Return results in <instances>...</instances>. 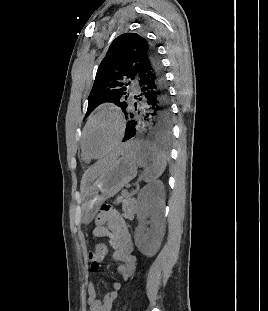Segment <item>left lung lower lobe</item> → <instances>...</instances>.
Returning <instances> with one entry per match:
<instances>
[{
    "mask_svg": "<svg viewBox=\"0 0 268 311\" xmlns=\"http://www.w3.org/2000/svg\"><path fill=\"white\" fill-rule=\"evenodd\" d=\"M137 82L139 91L134 96L138 105L135 114L128 116L125 140L168 141L172 113L163 67L156 52L140 63Z\"/></svg>",
    "mask_w": 268,
    "mask_h": 311,
    "instance_id": "left-lung-lower-lobe-1",
    "label": "left lung lower lobe"
}]
</instances>
